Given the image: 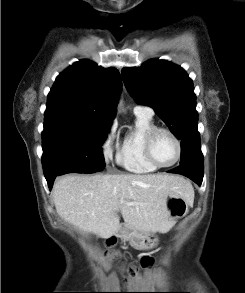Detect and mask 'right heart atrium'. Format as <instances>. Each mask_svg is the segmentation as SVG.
<instances>
[{
	"mask_svg": "<svg viewBox=\"0 0 245 293\" xmlns=\"http://www.w3.org/2000/svg\"><path fill=\"white\" fill-rule=\"evenodd\" d=\"M117 147H118V141H117L116 128L112 124L105 131L102 142H101L102 153L106 161L110 160V158L113 155V152L117 149Z\"/></svg>",
	"mask_w": 245,
	"mask_h": 293,
	"instance_id": "obj_1",
	"label": "right heart atrium"
}]
</instances>
